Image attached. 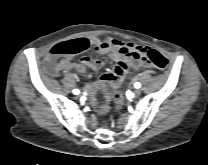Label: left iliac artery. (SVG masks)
I'll use <instances>...</instances> for the list:
<instances>
[{"mask_svg": "<svg viewBox=\"0 0 208 165\" xmlns=\"http://www.w3.org/2000/svg\"><path fill=\"white\" fill-rule=\"evenodd\" d=\"M134 87L138 89V88L141 87V84H140L139 82H136V83L134 84Z\"/></svg>", "mask_w": 208, "mask_h": 165, "instance_id": "left-iliac-artery-1", "label": "left iliac artery"}]
</instances>
